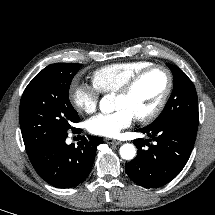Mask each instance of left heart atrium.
I'll return each mask as SVG.
<instances>
[{
    "instance_id": "1",
    "label": "left heart atrium",
    "mask_w": 215,
    "mask_h": 215,
    "mask_svg": "<svg viewBox=\"0 0 215 215\" xmlns=\"http://www.w3.org/2000/svg\"><path fill=\"white\" fill-rule=\"evenodd\" d=\"M134 118L128 109L120 108L112 113L92 117L87 122V128L94 135L115 138L132 124Z\"/></svg>"
}]
</instances>
